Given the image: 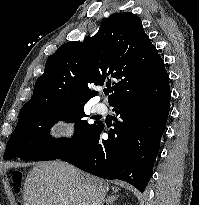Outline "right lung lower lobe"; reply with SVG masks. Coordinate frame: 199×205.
Segmentation results:
<instances>
[{
  "mask_svg": "<svg viewBox=\"0 0 199 205\" xmlns=\"http://www.w3.org/2000/svg\"><path fill=\"white\" fill-rule=\"evenodd\" d=\"M170 96L166 71L139 79L110 103L119 119L108 139L100 138L101 123L84 148L61 159L98 177L126 181L143 192L165 131Z\"/></svg>",
  "mask_w": 199,
  "mask_h": 205,
  "instance_id": "right-lung-lower-lobe-1",
  "label": "right lung lower lobe"
}]
</instances>
